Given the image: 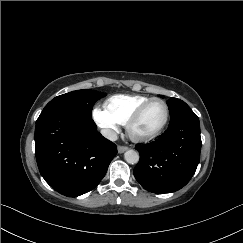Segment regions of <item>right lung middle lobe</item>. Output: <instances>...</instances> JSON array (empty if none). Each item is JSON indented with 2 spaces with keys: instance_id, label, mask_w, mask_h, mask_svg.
Here are the masks:
<instances>
[{
  "instance_id": "1",
  "label": "right lung middle lobe",
  "mask_w": 243,
  "mask_h": 243,
  "mask_svg": "<svg viewBox=\"0 0 243 243\" xmlns=\"http://www.w3.org/2000/svg\"><path fill=\"white\" fill-rule=\"evenodd\" d=\"M104 96L105 93L87 89L57 96L45 106L39 118L54 112H71L91 117L93 105Z\"/></svg>"
}]
</instances>
